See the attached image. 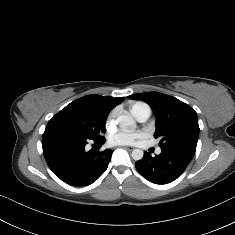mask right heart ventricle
Segmentation results:
<instances>
[{
	"mask_svg": "<svg viewBox=\"0 0 235 235\" xmlns=\"http://www.w3.org/2000/svg\"><path fill=\"white\" fill-rule=\"evenodd\" d=\"M136 105H137V104H136ZM136 105H134V106L132 107V109H134V107H135Z\"/></svg>",
	"mask_w": 235,
	"mask_h": 235,
	"instance_id": "1",
	"label": "right heart ventricle"
}]
</instances>
